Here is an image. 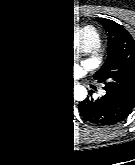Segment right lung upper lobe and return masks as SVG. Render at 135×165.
<instances>
[{"mask_svg": "<svg viewBox=\"0 0 135 165\" xmlns=\"http://www.w3.org/2000/svg\"><path fill=\"white\" fill-rule=\"evenodd\" d=\"M50 28L49 23L40 18L21 19L0 26V59L10 55L21 65L34 63L37 70L42 42Z\"/></svg>", "mask_w": 135, "mask_h": 165, "instance_id": "cb5924a9", "label": "right lung upper lobe"}]
</instances>
